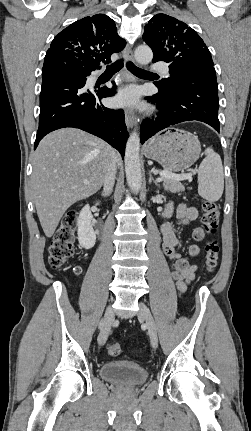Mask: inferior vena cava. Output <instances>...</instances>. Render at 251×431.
Here are the masks:
<instances>
[{"label": "inferior vena cava", "instance_id": "obj_1", "mask_svg": "<svg viewBox=\"0 0 251 431\" xmlns=\"http://www.w3.org/2000/svg\"><path fill=\"white\" fill-rule=\"evenodd\" d=\"M117 172V163L115 160V157L112 156L107 167V171L104 176L103 186H104V193L110 194L113 190V186L115 183V177Z\"/></svg>", "mask_w": 251, "mask_h": 431}]
</instances>
